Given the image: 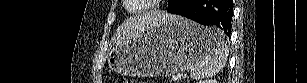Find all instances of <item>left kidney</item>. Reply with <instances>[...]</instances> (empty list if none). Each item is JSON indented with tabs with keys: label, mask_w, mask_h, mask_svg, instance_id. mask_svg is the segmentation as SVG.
<instances>
[{
	"label": "left kidney",
	"mask_w": 307,
	"mask_h": 83,
	"mask_svg": "<svg viewBox=\"0 0 307 83\" xmlns=\"http://www.w3.org/2000/svg\"><path fill=\"white\" fill-rule=\"evenodd\" d=\"M199 83H218V81L211 79V80L199 81Z\"/></svg>",
	"instance_id": "obj_1"
}]
</instances>
